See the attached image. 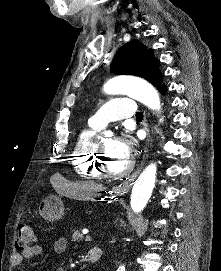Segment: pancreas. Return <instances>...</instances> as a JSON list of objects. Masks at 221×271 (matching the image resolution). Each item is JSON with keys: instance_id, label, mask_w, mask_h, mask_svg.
<instances>
[{"instance_id": "obj_1", "label": "pancreas", "mask_w": 221, "mask_h": 271, "mask_svg": "<svg viewBox=\"0 0 221 271\" xmlns=\"http://www.w3.org/2000/svg\"><path fill=\"white\" fill-rule=\"evenodd\" d=\"M83 233L81 231H74L72 242H80V237H82Z\"/></svg>"}]
</instances>
